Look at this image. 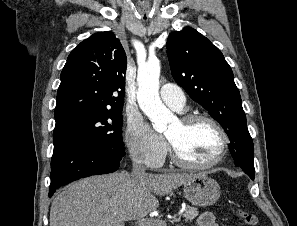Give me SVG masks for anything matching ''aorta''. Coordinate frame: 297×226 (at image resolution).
I'll use <instances>...</instances> for the list:
<instances>
[{
  "label": "aorta",
  "mask_w": 297,
  "mask_h": 226,
  "mask_svg": "<svg viewBox=\"0 0 297 226\" xmlns=\"http://www.w3.org/2000/svg\"><path fill=\"white\" fill-rule=\"evenodd\" d=\"M160 62L150 59L139 67L137 100L139 107L153 123L156 131H164L172 116L159 97Z\"/></svg>",
  "instance_id": "aorta-1"
}]
</instances>
